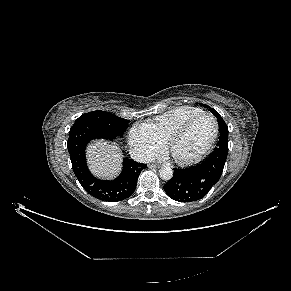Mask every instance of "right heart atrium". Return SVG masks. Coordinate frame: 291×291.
<instances>
[{
    "label": "right heart atrium",
    "instance_id": "1",
    "mask_svg": "<svg viewBox=\"0 0 291 291\" xmlns=\"http://www.w3.org/2000/svg\"><path fill=\"white\" fill-rule=\"evenodd\" d=\"M129 143L143 157L152 155L160 148V143L147 134L141 126L131 129Z\"/></svg>",
    "mask_w": 291,
    "mask_h": 291
}]
</instances>
